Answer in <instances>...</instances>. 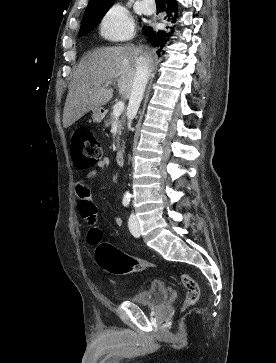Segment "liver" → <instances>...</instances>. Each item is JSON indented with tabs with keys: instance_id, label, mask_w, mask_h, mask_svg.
Wrapping results in <instances>:
<instances>
[{
	"instance_id": "1",
	"label": "liver",
	"mask_w": 276,
	"mask_h": 363,
	"mask_svg": "<svg viewBox=\"0 0 276 363\" xmlns=\"http://www.w3.org/2000/svg\"><path fill=\"white\" fill-rule=\"evenodd\" d=\"M144 57L149 71L154 70L153 52L145 47L115 46L88 53L78 64L63 111V127L67 128L89 111L107 104L113 89L105 83L117 79L120 95L130 97L136 62Z\"/></svg>"
}]
</instances>
